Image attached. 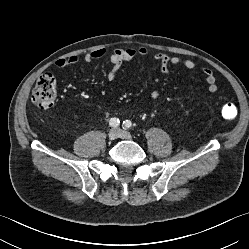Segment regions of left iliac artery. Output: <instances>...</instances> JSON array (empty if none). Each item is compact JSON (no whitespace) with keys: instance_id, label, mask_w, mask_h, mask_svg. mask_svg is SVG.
I'll return each mask as SVG.
<instances>
[{"instance_id":"obj_1","label":"left iliac artery","mask_w":249,"mask_h":249,"mask_svg":"<svg viewBox=\"0 0 249 249\" xmlns=\"http://www.w3.org/2000/svg\"><path fill=\"white\" fill-rule=\"evenodd\" d=\"M123 128H125V129H129V128H131V126H132V123H131V121L130 120H125L124 122H123Z\"/></svg>"}]
</instances>
